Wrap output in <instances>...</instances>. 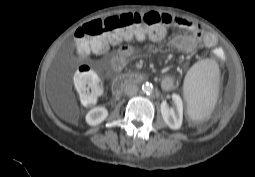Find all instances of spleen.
Listing matches in <instances>:
<instances>
[{
	"label": "spleen",
	"mask_w": 255,
	"mask_h": 177,
	"mask_svg": "<svg viewBox=\"0 0 255 177\" xmlns=\"http://www.w3.org/2000/svg\"><path fill=\"white\" fill-rule=\"evenodd\" d=\"M218 84L219 69L214 60L203 59L189 69L184 79V97L192 120L209 117L217 101Z\"/></svg>",
	"instance_id": "1"
}]
</instances>
